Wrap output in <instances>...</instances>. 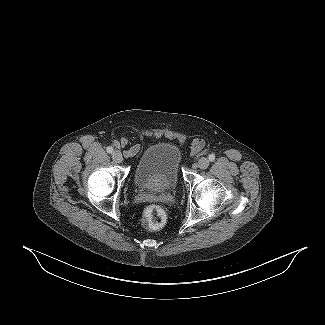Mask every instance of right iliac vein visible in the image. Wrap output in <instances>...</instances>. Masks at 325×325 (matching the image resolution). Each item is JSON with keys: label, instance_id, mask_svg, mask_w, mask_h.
Wrapping results in <instances>:
<instances>
[{"label": "right iliac vein", "instance_id": "1", "mask_svg": "<svg viewBox=\"0 0 325 325\" xmlns=\"http://www.w3.org/2000/svg\"><path fill=\"white\" fill-rule=\"evenodd\" d=\"M112 158L115 162L117 163H121L123 161V156L121 154L120 151L118 150H115L113 153H112Z\"/></svg>", "mask_w": 325, "mask_h": 325}]
</instances>
